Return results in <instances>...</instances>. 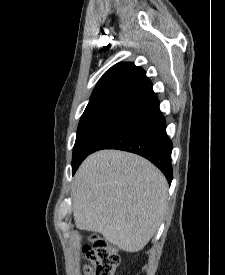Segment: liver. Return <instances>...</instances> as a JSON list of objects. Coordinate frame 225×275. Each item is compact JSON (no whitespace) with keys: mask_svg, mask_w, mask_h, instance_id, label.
<instances>
[{"mask_svg":"<svg viewBox=\"0 0 225 275\" xmlns=\"http://www.w3.org/2000/svg\"><path fill=\"white\" fill-rule=\"evenodd\" d=\"M71 197L78 229L100 233L123 251L138 252L162 223L168 183L141 156L102 150L78 168Z\"/></svg>","mask_w":225,"mask_h":275,"instance_id":"6515ba94","label":"liver"}]
</instances>
